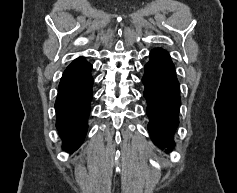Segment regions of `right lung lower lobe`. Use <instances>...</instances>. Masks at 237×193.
Instances as JSON below:
<instances>
[{
    "label": "right lung lower lobe",
    "mask_w": 237,
    "mask_h": 193,
    "mask_svg": "<svg viewBox=\"0 0 237 193\" xmlns=\"http://www.w3.org/2000/svg\"><path fill=\"white\" fill-rule=\"evenodd\" d=\"M91 70L92 65L79 57L66 68L59 83L56 127L67 151H75L86 136L93 95Z\"/></svg>",
    "instance_id": "obj_1"
}]
</instances>
